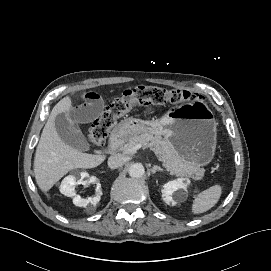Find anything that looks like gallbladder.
I'll use <instances>...</instances> for the list:
<instances>
[{"instance_id": "1", "label": "gallbladder", "mask_w": 271, "mask_h": 271, "mask_svg": "<svg viewBox=\"0 0 271 271\" xmlns=\"http://www.w3.org/2000/svg\"><path fill=\"white\" fill-rule=\"evenodd\" d=\"M55 125L60 138L66 144L79 151H88L90 149V144L77 123L69 121L64 115L60 114L55 119Z\"/></svg>"}]
</instances>
